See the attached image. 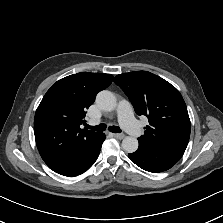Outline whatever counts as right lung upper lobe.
<instances>
[{"label": "right lung upper lobe", "instance_id": "right-lung-upper-lobe-1", "mask_svg": "<svg viewBox=\"0 0 223 223\" xmlns=\"http://www.w3.org/2000/svg\"><path fill=\"white\" fill-rule=\"evenodd\" d=\"M113 76L81 72L58 80L47 91L34 118L35 140L44 162L56 173L76 170L91 154L101 133L80 128L85 110Z\"/></svg>", "mask_w": 223, "mask_h": 223}]
</instances>
